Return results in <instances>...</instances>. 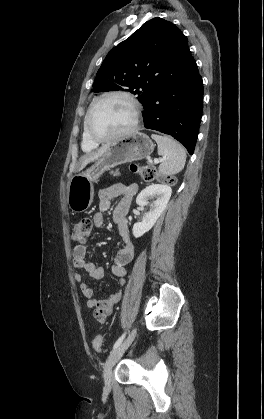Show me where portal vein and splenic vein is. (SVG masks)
Wrapping results in <instances>:
<instances>
[{
    "mask_svg": "<svg viewBox=\"0 0 264 419\" xmlns=\"http://www.w3.org/2000/svg\"><path fill=\"white\" fill-rule=\"evenodd\" d=\"M163 159H154V163L158 164L159 162H161Z\"/></svg>",
    "mask_w": 264,
    "mask_h": 419,
    "instance_id": "18ae733b",
    "label": "portal vein and splenic vein"
}]
</instances>
